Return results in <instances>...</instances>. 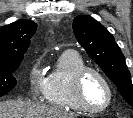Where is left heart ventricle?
Here are the masks:
<instances>
[{"mask_svg": "<svg viewBox=\"0 0 133 118\" xmlns=\"http://www.w3.org/2000/svg\"><path fill=\"white\" fill-rule=\"evenodd\" d=\"M84 97L89 106L102 107L108 99V92L104 82L94 73L86 76L84 81Z\"/></svg>", "mask_w": 133, "mask_h": 118, "instance_id": "b2bd125f", "label": "left heart ventricle"}]
</instances>
